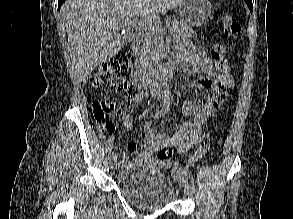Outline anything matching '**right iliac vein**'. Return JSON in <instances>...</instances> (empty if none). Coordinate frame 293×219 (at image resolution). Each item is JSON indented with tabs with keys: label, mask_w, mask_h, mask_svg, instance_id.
<instances>
[{
	"label": "right iliac vein",
	"mask_w": 293,
	"mask_h": 219,
	"mask_svg": "<svg viewBox=\"0 0 293 219\" xmlns=\"http://www.w3.org/2000/svg\"><path fill=\"white\" fill-rule=\"evenodd\" d=\"M110 168L113 169L116 165V156H112L109 161Z\"/></svg>",
	"instance_id": "63e3f726"
}]
</instances>
